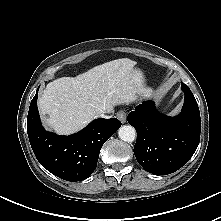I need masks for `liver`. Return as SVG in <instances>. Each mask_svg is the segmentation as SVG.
Here are the masks:
<instances>
[{"instance_id": "liver-1", "label": "liver", "mask_w": 221, "mask_h": 221, "mask_svg": "<svg viewBox=\"0 0 221 221\" xmlns=\"http://www.w3.org/2000/svg\"><path fill=\"white\" fill-rule=\"evenodd\" d=\"M135 65L128 58L117 59L48 83L38 100L45 124L57 134L69 135L114 106L148 95L150 90L134 79Z\"/></svg>"}]
</instances>
